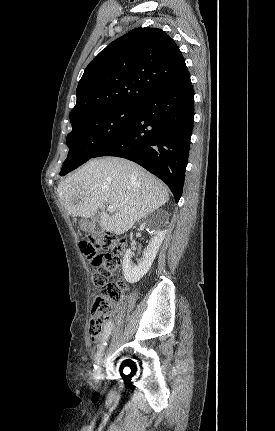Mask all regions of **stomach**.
<instances>
[{"label": "stomach", "instance_id": "0dacf381", "mask_svg": "<svg viewBox=\"0 0 275 431\" xmlns=\"http://www.w3.org/2000/svg\"><path fill=\"white\" fill-rule=\"evenodd\" d=\"M80 227L83 230H88V225H87V223L85 221H81L80 222Z\"/></svg>", "mask_w": 275, "mask_h": 431}]
</instances>
